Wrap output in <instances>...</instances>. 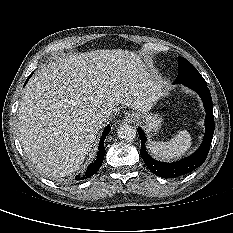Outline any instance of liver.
<instances>
[{
  "mask_svg": "<svg viewBox=\"0 0 233 233\" xmlns=\"http://www.w3.org/2000/svg\"><path fill=\"white\" fill-rule=\"evenodd\" d=\"M162 81L140 56L122 49L59 58L28 82L18 109L24 152L47 177L75 173L92 149L102 123L122 105L142 113L163 96Z\"/></svg>",
  "mask_w": 233,
  "mask_h": 233,
  "instance_id": "6515ba94",
  "label": "liver"
}]
</instances>
